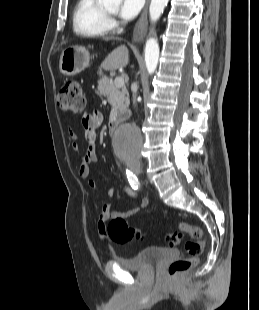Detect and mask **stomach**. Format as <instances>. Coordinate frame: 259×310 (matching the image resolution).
Listing matches in <instances>:
<instances>
[{
    "label": "stomach",
    "mask_w": 259,
    "mask_h": 310,
    "mask_svg": "<svg viewBox=\"0 0 259 310\" xmlns=\"http://www.w3.org/2000/svg\"><path fill=\"white\" fill-rule=\"evenodd\" d=\"M90 64L89 51L83 46H70L64 49L59 60V70L63 75L73 76Z\"/></svg>",
    "instance_id": "stomach-1"
}]
</instances>
